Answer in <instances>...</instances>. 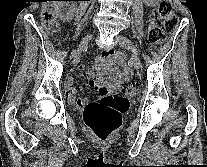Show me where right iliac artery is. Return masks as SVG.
Listing matches in <instances>:
<instances>
[{"label":"right iliac artery","mask_w":207,"mask_h":167,"mask_svg":"<svg viewBox=\"0 0 207 167\" xmlns=\"http://www.w3.org/2000/svg\"><path fill=\"white\" fill-rule=\"evenodd\" d=\"M74 52H75V50H73L72 55H73Z\"/></svg>","instance_id":"82829eb1"}]
</instances>
